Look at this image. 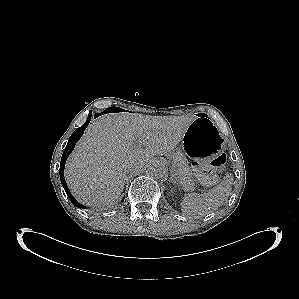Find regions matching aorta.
<instances>
[{
	"instance_id": "1",
	"label": "aorta",
	"mask_w": 299,
	"mask_h": 299,
	"mask_svg": "<svg viewBox=\"0 0 299 299\" xmlns=\"http://www.w3.org/2000/svg\"><path fill=\"white\" fill-rule=\"evenodd\" d=\"M146 173L153 178H163L166 174V166L160 161H152L148 164Z\"/></svg>"
}]
</instances>
